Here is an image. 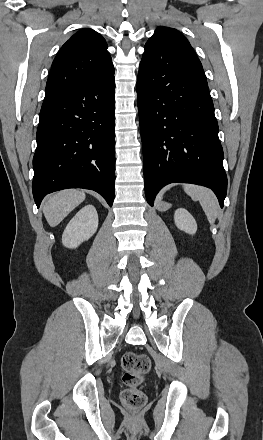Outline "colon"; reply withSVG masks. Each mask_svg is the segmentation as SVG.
Masks as SVG:
<instances>
[{
    "instance_id": "5ec220e1",
    "label": "colon",
    "mask_w": 263,
    "mask_h": 440,
    "mask_svg": "<svg viewBox=\"0 0 263 440\" xmlns=\"http://www.w3.org/2000/svg\"><path fill=\"white\" fill-rule=\"evenodd\" d=\"M121 366L124 384L120 393L121 403L129 410H141L147 403V397L140 386L151 369V360L146 354L129 351L122 356Z\"/></svg>"
}]
</instances>
